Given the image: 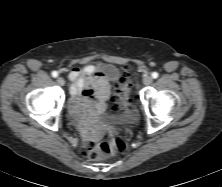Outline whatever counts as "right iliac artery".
<instances>
[{"instance_id":"1","label":"right iliac artery","mask_w":222,"mask_h":187,"mask_svg":"<svg viewBox=\"0 0 222 187\" xmlns=\"http://www.w3.org/2000/svg\"><path fill=\"white\" fill-rule=\"evenodd\" d=\"M52 76H53L54 78H56V77L58 76V73H57L56 71H53V72H52Z\"/></svg>"}]
</instances>
